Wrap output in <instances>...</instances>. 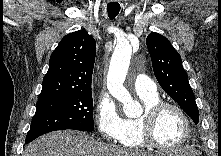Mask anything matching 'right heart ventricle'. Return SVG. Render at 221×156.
I'll return each mask as SVG.
<instances>
[{
  "label": "right heart ventricle",
  "mask_w": 221,
  "mask_h": 156,
  "mask_svg": "<svg viewBox=\"0 0 221 156\" xmlns=\"http://www.w3.org/2000/svg\"><path fill=\"white\" fill-rule=\"evenodd\" d=\"M143 101L145 108L160 101L158 94L153 96L139 95ZM123 146L130 148H140L145 144L142 142L139 135V118H124L122 119V132L118 140Z\"/></svg>",
  "instance_id": "right-heart-ventricle-1"
}]
</instances>
